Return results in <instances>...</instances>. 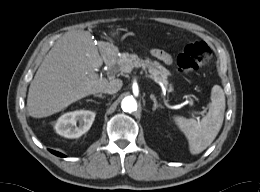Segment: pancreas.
<instances>
[{"mask_svg": "<svg viewBox=\"0 0 260 192\" xmlns=\"http://www.w3.org/2000/svg\"><path fill=\"white\" fill-rule=\"evenodd\" d=\"M128 65L132 68L134 67H142L143 69H147L148 72L156 77L165 87L168 86V76L170 72L160 65L158 62L151 61L150 59H142L136 54L122 53L118 60V67ZM169 91H172V87L170 86Z\"/></svg>", "mask_w": 260, "mask_h": 192, "instance_id": "1", "label": "pancreas"}]
</instances>
